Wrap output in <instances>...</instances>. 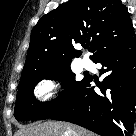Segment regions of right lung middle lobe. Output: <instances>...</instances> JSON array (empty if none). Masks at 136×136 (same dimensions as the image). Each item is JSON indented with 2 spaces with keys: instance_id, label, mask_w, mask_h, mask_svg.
<instances>
[{
  "instance_id": "right-lung-middle-lobe-1",
  "label": "right lung middle lobe",
  "mask_w": 136,
  "mask_h": 136,
  "mask_svg": "<svg viewBox=\"0 0 136 136\" xmlns=\"http://www.w3.org/2000/svg\"><path fill=\"white\" fill-rule=\"evenodd\" d=\"M70 64L60 65L51 69L30 74L22 79L18 86L14 116L19 121L47 119L59 109L78 91L85 81L75 80V74ZM42 79L59 80L64 90L58 99L49 103H39L33 96L35 85Z\"/></svg>"
}]
</instances>
